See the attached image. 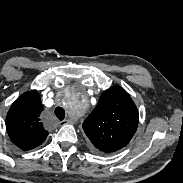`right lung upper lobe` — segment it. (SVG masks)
<instances>
[{"label": "right lung upper lobe", "instance_id": "right-lung-upper-lobe-1", "mask_svg": "<svg viewBox=\"0 0 183 183\" xmlns=\"http://www.w3.org/2000/svg\"><path fill=\"white\" fill-rule=\"evenodd\" d=\"M43 106L35 90L22 94L11 106L6 117V128L11 141L22 150L42 144L48 132L40 122Z\"/></svg>", "mask_w": 183, "mask_h": 183}]
</instances>
